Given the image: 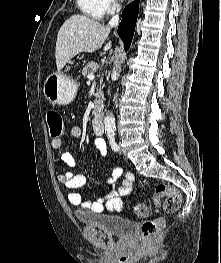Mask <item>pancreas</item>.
<instances>
[{
  "label": "pancreas",
  "mask_w": 221,
  "mask_h": 263,
  "mask_svg": "<svg viewBox=\"0 0 221 263\" xmlns=\"http://www.w3.org/2000/svg\"><path fill=\"white\" fill-rule=\"evenodd\" d=\"M99 68V65L98 63L96 62H90L88 63L82 70V75L84 77H88V75L90 73H93L95 72L97 69ZM101 84H102V81H101ZM101 84H100V87L99 89L97 90V94H96V99H95V109L93 110V114L94 115H97L98 112L101 110V108L103 107V100H104V96H103V92H102V87H101Z\"/></svg>",
  "instance_id": "cf45deb5"
}]
</instances>
